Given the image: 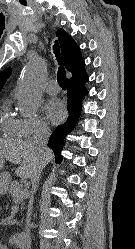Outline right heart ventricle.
Here are the masks:
<instances>
[{
    "label": "right heart ventricle",
    "mask_w": 135,
    "mask_h": 249,
    "mask_svg": "<svg viewBox=\"0 0 135 249\" xmlns=\"http://www.w3.org/2000/svg\"><path fill=\"white\" fill-rule=\"evenodd\" d=\"M0 135L5 138H18L20 136L17 119L10 113L8 103H4L0 110Z\"/></svg>",
    "instance_id": "right-heart-ventricle-1"
}]
</instances>
